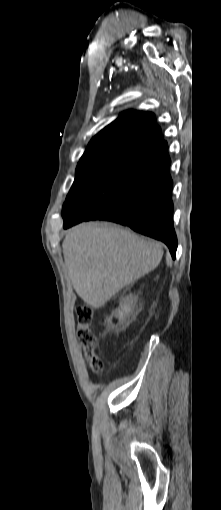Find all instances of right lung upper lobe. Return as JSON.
I'll list each match as a JSON object with an SVG mask.
<instances>
[{
	"label": "right lung upper lobe",
	"instance_id": "1",
	"mask_svg": "<svg viewBox=\"0 0 221 510\" xmlns=\"http://www.w3.org/2000/svg\"><path fill=\"white\" fill-rule=\"evenodd\" d=\"M165 146L167 142L161 138L154 115L131 110L122 113L93 137L81 158L127 149L155 153Z\"/></svg>",
	"mask_w": 221,
	"mask_h": 510
}]
</instances>
